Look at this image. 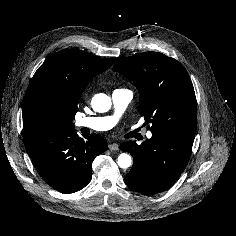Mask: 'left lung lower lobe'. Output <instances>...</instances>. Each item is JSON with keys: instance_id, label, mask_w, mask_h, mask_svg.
Returning a JSON list of instances; mask_svg holds the SVG:
<instances>
[{"instance_id": "1", "label": "left lung lower lobe", "mask_w": 236, "mask_h": 236, "mask_svg": "<svg viewBox=\"0 0 236 236\" xmlns=\"http://www.w3.org/2000/svg\"><path fill=\"white\" fill-rule=\"evenodd\" d=\"M194 138L180 134H152L141 145L128 141L120 146L131 153L133 165L125 176L126 184L144 195L169 189L184 171Z\"/></svg>"}]
</instances>
